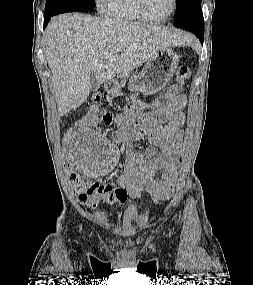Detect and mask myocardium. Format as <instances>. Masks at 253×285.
I'll use <instances>...</instances> for the list:
<instances>
[{
    "instance_id": "1",
    "label": "myocardium",
    "mask_w": 253,
    "mask_h": 285,
    "mask_svg": "<svg viewBox=\"0 0 253 285\" xmlns=\"http://www.w3.org/2000/svg\"><path fill=\"white\" fill-rule=\"evenodd\" d=\"M137 3H138V9H139L140 13L142 14V16L146 20L152 21V22H165L168 19H170L174 15V13L176 12L178 0H172L171 11L167 16H165L163 18H154L148 13V11L146 9V0H137Z\"/></svg>"
}]
</instances>
